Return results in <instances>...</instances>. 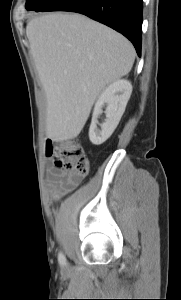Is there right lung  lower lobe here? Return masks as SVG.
Here are the masks:
<instances>
[{
	"mask_svg": "<svg viewBox=\"0 0 181 300\" xmlns=\"http://www.w3.org/2000/svg\"><path fill=\"white\" fill-rule=\"evenodd\" d=\"M143 0H55L42 11L84 14L127 37L141 55Z\"/></svg>",
	"mask_w": 181,
	"mask_h": 300,
	"instance_id": "right-lung-lower-lobe-1",
	"label": "right lung lower lobe"
}]
</instances>
